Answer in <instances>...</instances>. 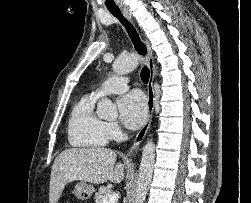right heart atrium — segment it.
Listing matches in <instances>:
<instances>
[{"label": "right heart atrium", "mask_w": 251, "mask_h": 203, "mask_svg": "<svg viewBox=\"0 0 251 203\" xmlns=\"http://www.w3.org/2000/svg\"><path fill=\"white\" fill-rule=\"evenodd\" d=\"M105 130L109 139H117L121 135V128L115 122H106Z\"/></svg>", "instance_id": "1"}]
</instances>
